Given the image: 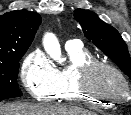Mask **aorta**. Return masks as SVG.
<instances>
[{"instance_id": "1", "label": "aorta", "mask_w": 131, "mask_h": 115, "mask_svg": "<svg viewBox=\"0 0 131 115\" xmlns=\"http://www.w3.org/2000/svg\"><path fill=\"white\" fill-rule=\"evenodd\" d=\"M43 46L47 54L58 62H62L61 48L56 36L52 33H47L43 39Z\"/></svg>"}]
</instances>
